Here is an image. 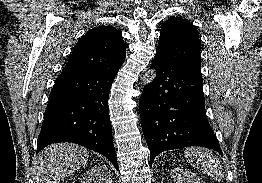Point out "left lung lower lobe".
Segmentation results:
<instances>
[{"instance_id": "0a47b994", "label": "left lung lower lobe", "mask_w": 262, "mask_h": 183, "mask_svg": "<svg viewBox=\"0 0 262 183\" xmlns=\"http://www.w3.org/2000/svg\"><path fill=\"white\" fill-rule=\"evenodd\" d=\"M155 79L143 89L139 112L150 164L165 150L201 146L222 154L205 112L202 76L155 56Z\"/></svg>"}]
</instances>
